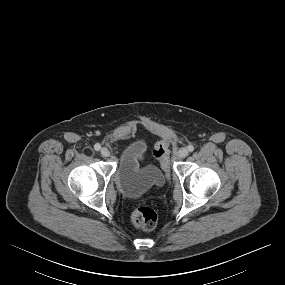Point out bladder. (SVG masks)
<instances>
[{
    "label": "bladder",
    "instance_id": "1",
    "mask_svg": "<svg viewBox=\"0 0 285 285\" xmlns=\"http://www.w3.org/2000/svg\"><path fill=\"white\" fill-rule=\"evenodd\" d=\"M147 147V141L137 137L121 150L114 179L120 192L127 197L139 196L164 183V175L157 166L141 165Z\"/></svg>",
    "mask_w": 285,
    "mask_h": 285
}]
</instances>
